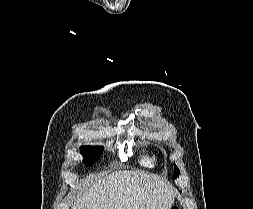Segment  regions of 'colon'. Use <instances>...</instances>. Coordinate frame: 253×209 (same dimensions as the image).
<instances>
[{"mask_svg":"<svg viewBox=\"0 0 253 209\" xmlns=\"http://www.w3.org/2000/svg\"><path fill=\"white\" fill-rule=\"evenodd\" d=\"M172 209H178V207L174 206V207H172Z\"/></svg>","mask_w":253,"mask_h":209,"instance_id":"5ec220e1","label":"colon"}]
</instances>
